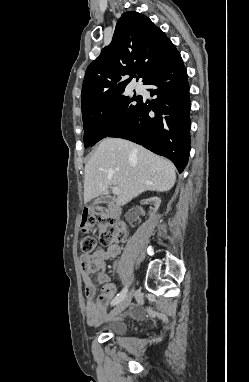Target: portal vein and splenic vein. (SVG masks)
<instances>
[{
	"mask_svg": "<svg viewBox=\"0 0 249 382\" xmlns=\"http://www.w3.org/2000/svg\"><path fill=\"white\" fill-rule=\"evenodd\" d=\"M112 192L114 195H120V189L118 187H112Z\"/></svg>",
	"mask_w": 249,
	"mask_h": 382,
	"instance_id": "obj_1",
	"label": "portal vein and splenic vein"
}]
</instances>
